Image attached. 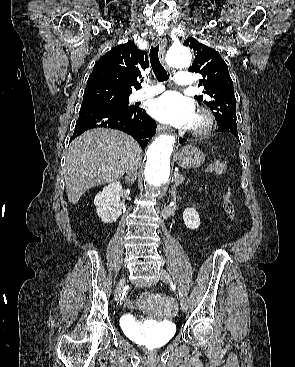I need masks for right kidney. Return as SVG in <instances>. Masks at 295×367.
<instances>
[{"instance_id": "ca27d5eb", "label": "right kidney", "mask_w": 295, "mask_h": 367, "mask_svg": "<svg viewBox=\"0 0 295 367\" xmlns=\"http://www.w3.org/2000/svg\"><path fill=\"white\" fill-rule=\"evenodd\" d=\"M122 186L119 182L110 183L99 192L94 199L98 217L103 223L115 222L122 214L120 193Z\"/></svg>"}]
</instances>
